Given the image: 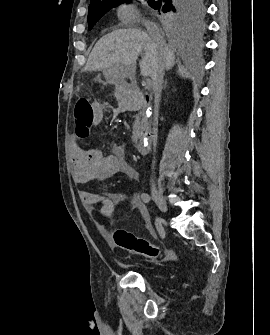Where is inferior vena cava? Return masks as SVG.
I'll list each match as a JSON object with an SVG mask.
<instances>
[{
	"mask_svg": "<svg viewBox=\"0 0 270 335\" xmlns=\"http://www.w3.org/2000/svg\"><path fill=\"white\" fill-rule=\"evenodd\" d=\"M143 24L147 30L148 36H150L153 44H159L161 40H163V36L161 34L160 28H158L157 24H154V22H149V20H143ZM163 76H164V68L162 70H157L153 76H151L153 80V92H154V98H155V106H159L160 102V94L162 90V84H163ZM152 140H153V150L155 152L156 150V144H157V124L154 122L153 124V132H152ZM155 166V162L153 160L152 162V169Z\"/></svg>",
	"mask_w": 270,
	"mask_h": 335,
	"instance_id": "602c4592",
	"label": "inferior vena cava"
}]
</instances>
